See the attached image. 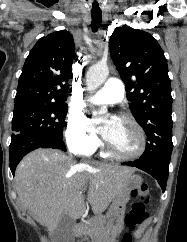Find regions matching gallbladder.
Masks as SVG:
<instances>
[{
	"label": "gallbladder",
	"mask_w": 187,
	"mask_h": 242,
	"mask_svg": "<svg viewBox=\"0 0 187 242\" xmlns=\"http://www.w3.org/2000/svg\"><path fill=\"white\" fill-rule=\"evenodd\" d=\"M74 220L64 216L54 231L52 242H74L72 229Z\"/></svg>",
	"instance_id": "gallbladder-1"
}]
</instances>
